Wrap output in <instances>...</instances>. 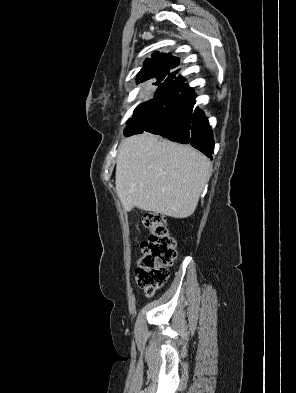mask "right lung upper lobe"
<instances>
[{
  "instance_id": "right-lung-upper-lobe-1",
  "label": "right lung upper lobe",
  "mask_w": 296,
  "mask_h": 393,
  "mask_svg": "<svg viewBox=\"0 0 296 393\" xmlns=\"http://www.w3.org/2000/svg\"><path fill=\"white\" fill-rule=\"evenodd\" d=\"M178 64L179 60L176 57H173L170 53L166 55L156 52L152 54L150 59H146L145 65L137 75V81L140 80L141 82H144L151 78L163 80L166 75L170 74V70L176 67Z\"/></svg>"
}]
</instances>
